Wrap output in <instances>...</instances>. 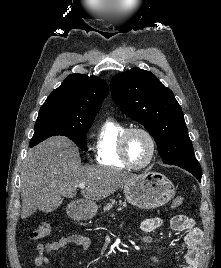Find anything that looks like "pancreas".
I'll list each match as a JSON object with an SVG mask.
<instances>
[{"mask_svg": "<svg viewBox=\"0 0 221 268\" xmlns=\"http://www.w3.org/2000/svg\"><path fill=\"white\" fill-rule=\"evenodd\" d=\"M117 203L114 199L111 200L110 203H108L105 207H104V211H110L112 208H113V205ZM119 205L122 206V207H126V202H122V201H119ZM122 207L119 208V210L122 209Z\"/></svg>", "mask_w": 221, "mask_h": 268, "instance_id": "obj_1", "label": "pancreas"}]
</instances>
